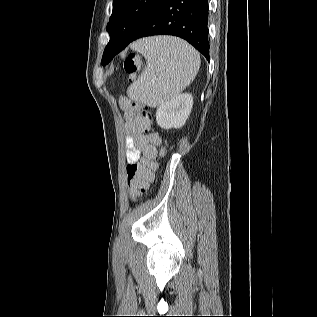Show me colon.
<instances>
[{
	"label": "colon",
	"instance_id": "1",
	"mask_svg": "<svg viewBox=\"0 0 317 317\" xmlns=\"http://www.w3.org/2000/svg\"><path fill=\"white\" fill-rule=\"evenodd\" d=\"M140 61L135 54H129L124 61V69L133 80L139 69ZM151 115L148 108H143L137 114L135 123L141 130L147 131L150 126ZM164 151H162V154ZM154 163L139 161L127 165V185L132 198H137L144 193L152 178Z\"/></svg>",
	"mask_w": 317,
	"mask_h": 317
}]
</instances>
